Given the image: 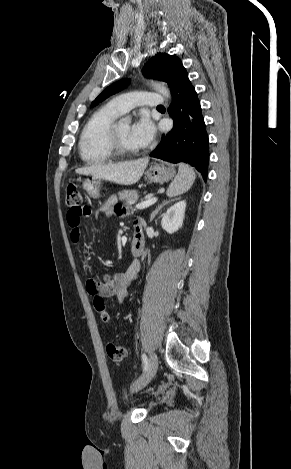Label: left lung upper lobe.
Returning <instances> with one entry per match:
<instances>
[{"label":"left lung upper lobe","instance_id":"5c2ea615","mask_svg":"<svg viewBox=\"0 0 291 469\" xmlns=\"http://www.w3.org/2000/svg\"><path fill=\"white\" fill-rule=\"evenodd\" d=\"M186 72L181 60L166 53H157L143 68L146 77L165 81L172 91L180 77ZM129 80L124 79L107 87L91 104L95 106L109 96L122 90Z\"/></svg>","mask_w":291,"mask_h":469}]
</instances>
